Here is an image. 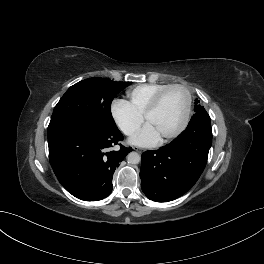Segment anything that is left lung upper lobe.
Returning <instances> with one entry per match:
<instances>
[{
    "instance_id": "5c2ea615",
    "label": "left lung upper lobe",
    "mask_w": 264,
    "mask_h": 264,
    "mask_svg": "<svg viewBox=\"0 0 264 264\" xmlns=\"http://www.w3.org/2000/svg\"><path fill=\"white\" fill-rule=\"evenodd\" d=\"M201 105L199 104V100H195V107H194V111H196V109H198ZM205 115H208L207 113H205Z\"/></svg>"
}]
</instances>
